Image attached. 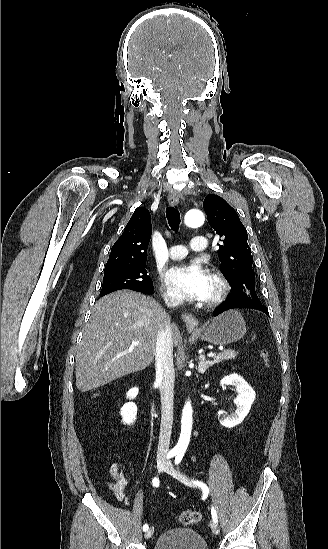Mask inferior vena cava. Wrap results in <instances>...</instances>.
<instances>
[{
  "mask_svg": "<svg viewBox=\"0 0 328 549\" xmlns=\"http://www.w3.org/2000/svg\"><path fill=\"white\" fill-rule=\"evenodd\" d=\"M168 309L178 307L179 301L165 299ZM156 375L159 379V391L161 395V425L158 443L157 457L165 459L170 445L171 431L173 425V389H174V365H173V343L170 327L159 331L156 343Z\"/></svg>",
  "mask_w": 328,
  "mask_h": 549,
  "instance_id": "1",
  "label": "inferior vena cava"
}]
</instances>
